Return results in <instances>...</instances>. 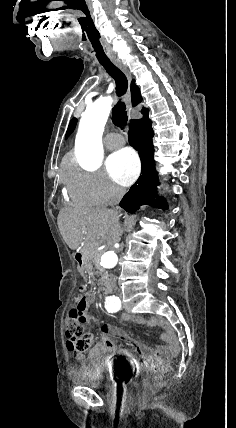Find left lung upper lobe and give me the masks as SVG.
<instances>
[{
	"label": "left lung upper lobe",
	"mask_w": 236,
	"mask_h": 428,
	"mask_svg": "<svg viewBox=\"0 0 236 428\" xmlns=\"http://www.w3.org/2000/svg\"><path fill=\"white\" fill-rule=\"evenodd\" d=\"M76 123H77V119L73 118L71 120L70 124H69L68 130H67V133H66V138L73 132V130H74L75 126H76Z\"/></svg>",
	"instance_id": "5c2ea615"
}]
</instances>
